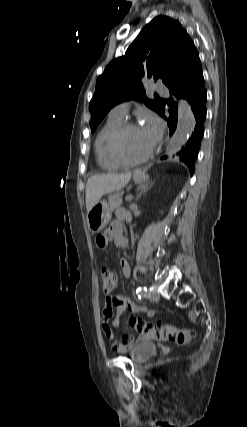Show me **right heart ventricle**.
<instances>
[{
    "label": "right heart ventricle",
    "instance_id": "e07e8e85",
    "mask_svg": "<svg viewBox=\"0 0 247 427\" xmlns=\"http://www.w3.org/2000/svg\"><path fill=\"white\" fill-rule=\"evenodd\" d=\"M122 124L123 119L109 116L96 135L94 141L95 158L98 166L103 170L114 171L124 166L117 161L111 149L112 139Z\"/></svg>",
    "mask_w": 247,
    "mask_h": 427
}]
</instances>
